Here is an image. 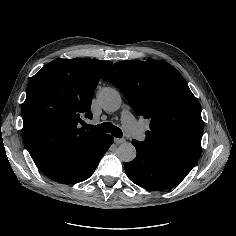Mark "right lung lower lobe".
Masks as SVG:
<instances>
[{"instance_id":"obj_1","label":"right lung lower lobe","mask_w":236,"mask_h":236,"mask_svg":"<svg viewBox=\"0 0 236 236\" xmlns=\"http://www.w3.org/2000/svg\"><path fill=\"white\" fill-rule=\"evenodd\" d=\"M113 143V137L102 134L94 141L73 151L51 180L61 184H73L86 180L96 169L100 159Z\"/></svg>"}]
</instances>
